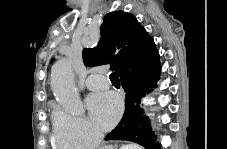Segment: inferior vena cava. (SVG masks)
I'll return each mask as SVG.
<instances>
[{
  "label": "inferior vena cava",
  "instance_id": "602c4592",
  "mask_svg": "<svg viewBox=\"0 0 227 149\" xmlns=\"http://www.w3.org/2000/svg\"><path fill=\"white\" fill-rule=\"evenodd\" d=\"M93 137H95L96 143H100L102 141V139H103V134L95 132L93 134Z\"/></svg>",
  "mask_w": 227,
  "mask_h": 149
}]
</instances>
